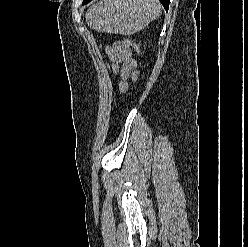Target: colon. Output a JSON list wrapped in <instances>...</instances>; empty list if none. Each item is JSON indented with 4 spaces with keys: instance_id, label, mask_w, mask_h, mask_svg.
Returning <instances> with one entry per match:
<instances>
[{
    "instance_id": "5ec220e1",
    "label": "colon",
    "mask_w": 248,
    "mask_h": 247,
    "mask_svg": "<svg viewBox=\"0 0 248 247\" xmlns=\"http://www.w3.org/2000/svg\"><path fill=\"white\" fill-rule=\"evenodd\" d=\"M124 43H126L128 46H131L134 48V50L137 52V54H140V49H139V46L133 42L132 40L130 39H125L124 40Z\"/></svg>"
}]
</instances>
